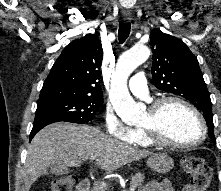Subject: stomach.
Listing matches in <instances>:
<instances>
[{
	"mask_svg": "<svg viewBox=\"0 0 221 191\" xmlns=\"http://www.w3.org/2000/svg\"><path fill=\"white\" fill-rule=\"evenodd\" d=\"M147 164L150 169L158 173H167L173 168V160L166 153L151 154Z\"/></svg>",
	"mask_w": 221,
	"mask_h": 191,
	"instance_id": "1",
	"label": "stomach"
}]
</instances>
